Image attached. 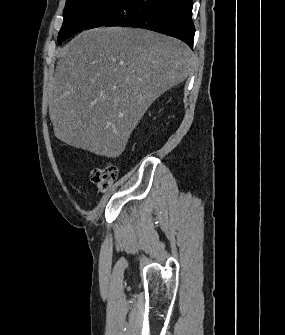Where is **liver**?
Returning <instances> with one entry per match:
<instances>
[{
    "mask_svg": "<svg viewBox=\"0 0 285 335\" xmlns=\"http://www.w3.org/2000/svg\"><path fill=\"white\" fill-rule=\"evenodd\" d=\"M49 114L56 138L118 158L151 104L188 78L186 44L149 30L94 28L57 50Z\"/></svg>",
    "mask_w": 285,
    "mask_h": 335,
    "instance_id": "6515ba94",
    "label": "liver"
}]
</instances>
